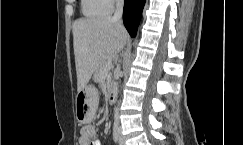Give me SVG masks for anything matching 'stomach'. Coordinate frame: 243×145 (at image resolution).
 Here are the masks:
<instances>
[{"label":"stomach","instance_id":"stomach-1","mask_svg":"<svg viewBox=\"0 0 243 145\" xmlns=\"http://www.w3.org/2000/svg\"><path fill=\"white\" fill-rule=\"evenodd\" d=\"M90 88L85 87L79 91L76 97V119L81 123H89L94 118V114L99 103V94H91Z\"/></svg>","mask_w":243,"mask_h":145}]
</instances>
